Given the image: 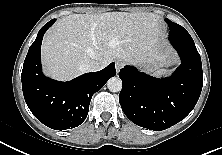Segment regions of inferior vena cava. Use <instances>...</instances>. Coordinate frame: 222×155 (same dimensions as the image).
<instances>
[{
    "label": "inferior vena cava",
    "mask_w": 222,
    "mask_h": 155,
    "mask_svg": "<svg viewBox=\"0 0 222 155\" xmlns=\"http://www.w3.org/2000/svg\"><path fill=\"white\" fill-rule=\"evenodd\" d=\"M102 68L103 66L98 61H91L86 65V70L89 72H96L101 70Z\"/></svg>",
    "instance_id": "inferior-vena-cava-1"
}]
</instances>
